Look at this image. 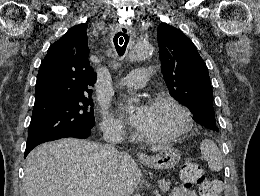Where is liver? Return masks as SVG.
<instances>
[{
  "instance_id": "liver-1",
  "label": "liver",
  "mask_w": 260,
  "mask_h": 196,
  "mask_svg": "<svg viewBox=\"0 0 260 196\" xmlns=\"http://www.w3.org/2000/svg\"><path fill=\"white\" fill-rule=\"evenodd\" d=\"M159 150L161 146L151 148ZM141 178L139 166L126 152L108 160L103 144L63 138L28 154L23 186L26 196H107L111 186L121 196H131Z\"/></svg>"
}]
</instances>
